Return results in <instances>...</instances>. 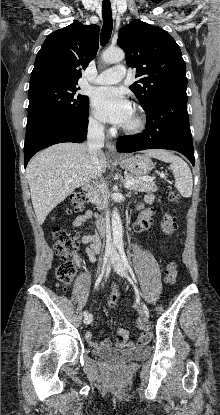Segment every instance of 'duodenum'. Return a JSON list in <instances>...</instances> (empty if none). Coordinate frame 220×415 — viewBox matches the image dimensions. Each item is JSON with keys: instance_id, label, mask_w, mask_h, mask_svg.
I'll list each match as a JSON object with an SVG mask.
<instances>
[{"instance_id": "duodenum-1", "label": "duodenum", "mask_w": 220, "mask_h": 415, "mask_svg": "<svg viewBox=\"0 0 220 415\" xmlns=\"http://www.w3.org/2000/svg\"><path fill=\"white\" fill-rule=\"evenodd\" d=\"M96 185L95 184H89L87 186H85V191L90 195V196H94L95 192H96ZM97 227H98V235L101 238H104L106 236L107 233V222L103 217H99L97 219Z\"/></svg>"}]
</instances>
